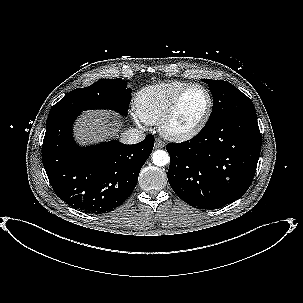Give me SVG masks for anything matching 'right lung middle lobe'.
Wrapping results in <instances>:
<instances>
[{
  "mask_svg": "<svg viewBox=\"0 0 303 303\" xmlns=\"http://www.w3.org/2000/svg\"><path fill=\"white\" fill-rule=\"evenodd\" d=\"M131 91L119 78L101 79L88 87L69 92L51 108L49 115L87 109H112L127 115Z\"/></svg>",
  "mask_w": 303,
  "mask_h": 303,
  "instance_id": "right-lung-middle-lobe-1",
  "label": "right lung middle lobe"
}]
</instances>
